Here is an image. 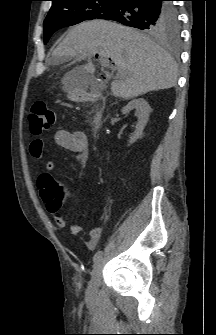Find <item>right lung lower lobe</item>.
Instances as JSON below:
<instances>
[{"label":"right lung lower lobe","instance_id":"right-lung-lower-lobe-1","mask_svg":"<svg viewBox=\"0 0 216 335\" xmlns=\"http://www.w3.org/2000/svg\"><path fill=\"white\" fill-rule=\"evenodd\" d=\"M174 9V5L167 0H118L98 19L114 20L130 27L158 33L164 22L178 23Z\"/></svg>","mask_w":216,"mask_h":335}]
</instances>
